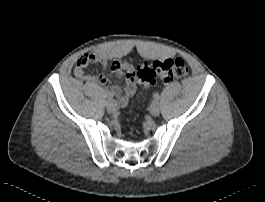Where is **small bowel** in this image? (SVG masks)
<instances>
[{
	"label": "small bowel",
	"instance_id": "small-bowel-1",
	"mask_svg": "<svg viewBox=\"0 0 265 202\" xmlns=\"http://www.w3.org/2000/svg\"><path fill=\"white\" fill-rule=\"evenodd\" d=\"M91 65H100L102 67L109 66L112 71L125 78V88L121 89L120 87L113 85L102 74L95 75L86 73V69ZM133 71V66L127 60L115 59L109 61L101 52H88L78 58L74 74L91 84H100L107 90L111 97L117 98L121 105H126L137 90Z\"/></svg>",
	"mask_w": 265,
	"mask_h": 202
}]
</instances>
